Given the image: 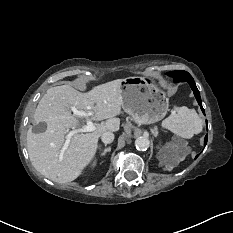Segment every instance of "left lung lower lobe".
I'll return each instance as SVG.
<instances>
[{
	"label": "left lung lower lobe",
	"instance_id": "obj_1",
	"mask_svg": "<svg viewBox=\"0 0 233 233\" xmlns=\"http://www.w3.org/2000/svg\"><path fill=\"white\" fill-rule=\"evenodd\" d=\"M180 81H187V82L190 84V86H191V88H192V90H193V92H194V95H195V97H196V99H197V101H198V104L200 105L202 112L205 114V111H204V109H203V107H202V103H201L200 93H199V91H198V89H197V87H196V84H195V82H194L192 76H187V77L183 78V79L180 80ZM180 81L174 79V82H180ZM207 128H208V126H207ZM207 137H208V135L205 136L204 145L207 144ZM197 157H198V155L196 156V158H197Z\"/></svg>",
	"mask_w": 233,
	"mask_h": 233
}]
</instances>
